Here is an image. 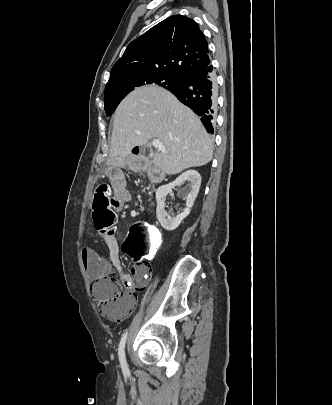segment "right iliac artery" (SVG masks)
I'll return each mask as SVG.
<instances>
[{
    "label": "right iliac artery",
    "mask_w": 332,
    "mask_h": 405,
    "mask_svg": "<svg viewBox=\"0 0 332 405\" xmlns=\"http://www.w3.org/2000/svg\"><path fill=\"white\" fill-rule=\"evenodd\" d=\"M126 338H127V331L122 336V339L119 344V350H118L120 364H121V367L124 372L128 371L127 362H126V358H125V352H124Z\"/></svg>",
    "instance_id": "1"
}]
</instances>
